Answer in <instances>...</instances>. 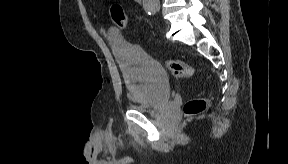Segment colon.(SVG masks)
<instances>
[{
  "label": "colon",
  "instance_id": "colon-1",
  "mask_svg": "<svg viewBox=\"0 0 288 164\" xmlns=\"http://www.w3.org/2000/svg\"><path fill=\"white\" fill-rule=\"evenodd\" d=\"M111 13L116 20L118 27L122 30H127L129 25L123 11L119 8H115L112 9ZM166 65L168 69L178 78L189 79L195 75V70L182 61L170 59L166 61ZM208 107L209 101L207 98H195L185 103L183 111L185 115L192 117L202 114Z\"/></svg>",
  "mask_w": 288,
  "mask_h": 164
}]
</instances>
